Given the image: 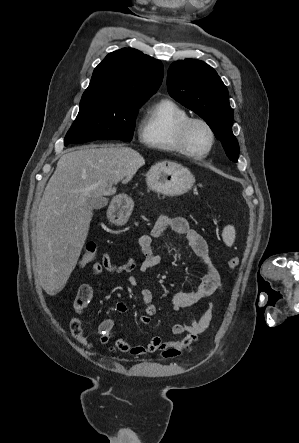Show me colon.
Here are the masks:
<instances>
[{
	"instance_id": "5ec220e1",
	"label": "colon",
	"mask_w": 299,
	"mask_h": 443,
	"mask_svg": "<svg viewBox=\"0 0 299 443\" xmlns=\"http://www.w3.org/2000/svg\"><path fill=\"white\" fill-rule=\"evenodd\" d=\"M96 254H97L96 244L88 243L82 252V255L79 260V265L83 267L90 265L95 260ZM227 263L230 268L234 269L239 265V258L236 256L230 257Z\"/></svg>"
}]
</instances>
